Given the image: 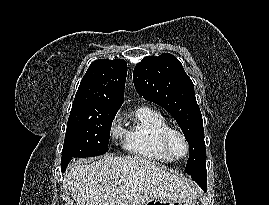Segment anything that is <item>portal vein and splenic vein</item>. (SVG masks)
<instances>
[{"label": "portal vein and splenic vein", "mask_w": 269, "mask_h": 205, "mask_svg": "<svg viewBox=\"0 0 269 205\" xmlns=\"http://www.w3.org/2000/svg\"><path fill=\"white\" fill-rule=\"evenodd\" d=\"M115 184H121V181L120 180H116L115 181Z\"/></svg>", "instance_id": "obj_1"}]
</instances>
